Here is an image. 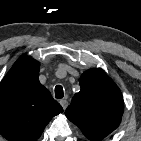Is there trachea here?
Returning <instances> with one entry per match:
<instances>
[{
  "label": "trachea",
  "mask_w": 141,
  "mask_h": 141,
  "mask_svg": "<svg viewBox=\"0 0 141 141\" xmlns=\"http://www.w3.org/2000/svg\"><path fill=\"white\" fill-rule=\"evenodd\" d=\"M64 93H63V87L61 85H57L55 87V98L61 99L63 98Z\"/></svg>",
  "instance_id": "3493384b"
}]
</instances>
